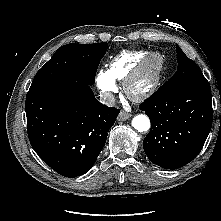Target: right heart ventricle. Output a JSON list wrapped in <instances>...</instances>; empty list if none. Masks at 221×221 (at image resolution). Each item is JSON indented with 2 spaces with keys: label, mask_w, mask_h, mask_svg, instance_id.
<instances>
[{
  "label": "right heart ventricle",
  "mask_w": 221,
  "mask_h": 221,
  "mask_svg": "<svg viewBox=\"0 0 221 221\" xmlns=\"http://www.w3.org/2000/svg\"><path fill=\"white\" fill-rule=\"evenodd\" d=\"M146 54V51H122L112 59L108 70L116 80L123 81Z\"/></svg>",
  "instance_id": "e07e8e85"
}]
</instances>
